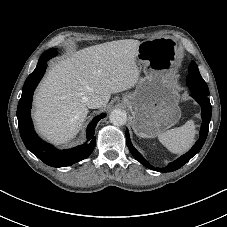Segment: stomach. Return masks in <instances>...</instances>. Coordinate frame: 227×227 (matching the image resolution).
Here are the masks:
<instances>
[{
    "label": "stomach",
    "mask_w": 227,
    "mask_h": 227,
    "mask_svg": "<svg viewBox=\"0 0 227 227\" xmlns=\"http://www.w3.org/2000/svg\"><path fill=\"white\" fill-rule=\"evenodd\" d=\"M136 58L143 65L145 76L122 102L132 114L134 132L141 137L154 138L181 117L179 94L172 82L178 53L172 44L159 39L145 40L138 47Z\"/></svg>",
    "instance_id": "obj_1"
}]
</instances>
